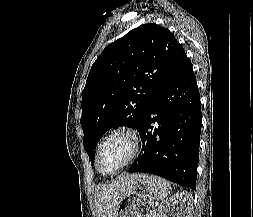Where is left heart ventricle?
<instances>
[{
	"label": "left heart ventricle",
	"instance_id": "b2bd125f",
	"mask_svg": "<svg viewBox=\"0 0 253 217\" xmlns=\"http://www.w3.org/2000/svg\"><path fill=\"white\" fill-rule=\"evenodd\" d=\"M129 153L130 143L127 138L121 135L111 138L101 150L100 171L105 174L115 171L126 160Z\"/></svg>",
	"mask_w": 253,
	"mask_h": 217
}]
</instances>
